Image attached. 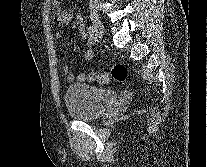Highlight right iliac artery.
<instances>
[{
    "instance_id": "right-iliac-artery-1",
    "label": "right iliac artery",
    "mask_w": 207,
    "mask_h": 167,
    "mask_svg": "<svg viewBox=\"0 0 207 167\" xmlns=\"http://www.w3.org/2000/svg\"><path fill=\"white\" fill-rule=\"evenodd\" d=\"M88 37L90 41H93L95 39V31L91 26L88 27Z\"/></svg>"
}]
</instances>
